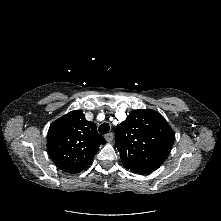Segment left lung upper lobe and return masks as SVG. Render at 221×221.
Segmentation results:
<instances>
[{
    "label": "left lung upper lobe",
    "mask_w": 221,
    "mask_h": 221,
    "mask_svg": "<svg viewBox=\"0 0 221 221\" xmlns=\"http://www.w3.org/2000/svg\"><path fill=\"white\" fill-rule=\"evenodd\" d=\"M174 138V131L160 113L138 109L117 125L115 146L127 169L134 173L152 172L167 158Z\"/></svg>",
    "instance_id": "obj_1"
}]
</instances>
